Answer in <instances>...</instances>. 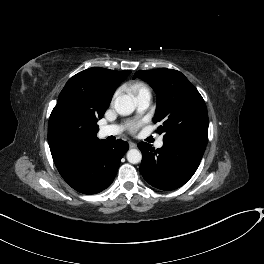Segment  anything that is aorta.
Here are the masks:
<instances>
[{"instance_id":"aorta-1","label":"aorta","mask_w":264,"mask_h":264,"mask_svg":"<svg viewBox=\"0 0 264 264\" xmlns=\"http://www.w3.org/2000/svg\"><path fill=\"white\" fill-rule=\"evenodd\" d=\"M114 108L120 115H130L136 108L135 98L131 95H120L115 99ZM142 154L137 149H130L127 152V160L131 164L141 161Z\"/></svg>"}]
</instances>
